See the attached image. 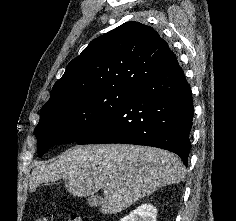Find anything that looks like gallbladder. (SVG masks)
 Masks as SVG:
<instances>
[{
    "mask_svg": "<svg viewBox=\"0 0 236 221\" xmlns=\"http://www.w3.org/2000/svg\"><path fill=\"white\" fill-rule=\"evenodd\" d=\"M101 202H102V198L98 195L91 196V197L88 198V204L91 207H97L101 204Z\"/></svg>",
    "mask_w": 236,
    "mask_h": 221,
    "instance_id": "bac80fb5",
    "label": "gallbladder"
}]
</instances>
